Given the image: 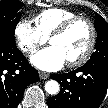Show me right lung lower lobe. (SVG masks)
Segmentation results:
<instances>
[{"mask_svg":"<svg viewBox=\"0 0 108 108\" xmlns=\"http://www.w3.org/2000/svg\"><path fill=\"white\" fill-rule=\"evenodd\" d=\"M39 74L15 44L0 39V108H16Z\"/></svg>","mask_w":108,"mask_h":108,"instance_id":"right-lung-lower-lobe-1","label":"right lung lower lobe"}]
</instances>
